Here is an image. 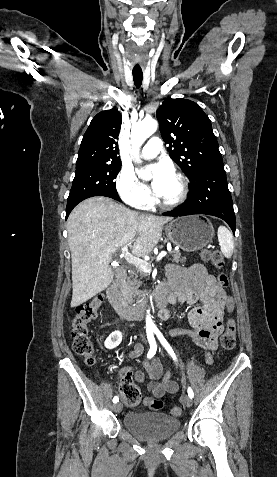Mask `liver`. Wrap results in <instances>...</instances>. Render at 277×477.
I'll return each mask as SVG.
<instances>
[{"mask_svg": "<svg viewBox=\"0 0 277 477\" xmlns=\"http://www.w3.org/2000/svg\"><path fill=\"white\" fill-rule=\"evenodd\" d=\"M171 217L139 214L107 197L77 205L67 220L72 261V301L76 307L105 290L114 278L112 254L128 245L136 256L149 254Z\"/></svg>", "mask_w": 277, "mask_h": 477, "instance_id": "liver-1", "label": "liver"}]
</instances>
